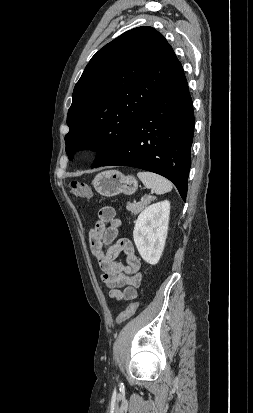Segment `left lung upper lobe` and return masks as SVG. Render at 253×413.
I'll use <instances>...</instances> for the list:
<instances>
[{
	"label": "left lung upper lobe",
	"mask_w": 253,
	"mask_h": 413,
	"mask_svg": "<svg viewBox=\"0 0 253 413\" xmlns=\"http://www.w3.org/2000/svg\"><path fill=\"white\" fill-rule=\"evenodd\" d=\"M178 59L152 27L127 31L101 48L73 91L65 136L71 160L77 150L97 151L91 168L104 164L124 144Z\"/></svg>",
	"instance_id": "5c2ea615"
}]
</instances>
